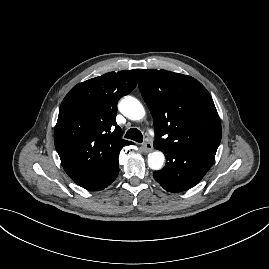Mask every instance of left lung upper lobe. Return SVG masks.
<instances>
[{
  "instance_id": "5c2ea615",
  "label": "left lung upper lobe",
  "mask_w": 269,
  "mask_h": 269,
  "mask_svg": "<svg viewBox=\"0 0 269 269\" xmlns=\"http://www.w3.org/2000/svg\"><path fill=\"white\" fill-rule=\"evenodd\" d=\"M139 89L154 119V147L217 151L220 118L211 95L199 81L166 70L143 69Z\"/></svg>"
}]
</instances>
